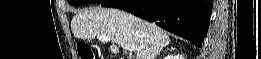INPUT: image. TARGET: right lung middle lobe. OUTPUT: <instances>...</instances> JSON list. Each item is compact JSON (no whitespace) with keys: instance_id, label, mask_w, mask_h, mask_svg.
Segmentation results:
<instances>
[{"instance_id":"1","label":"right lung middle lobe","mask_w":261,"mask_h":59,"mask_svg":"<svg viewBox=\"0 0 261 59\" xmlns=\"http://www.w3.org/2000/svg\"><path fill=\"white\" fill-rule=\"evenodd\" d=\"M104 0H70L69 4L71 5H84L91 3H102Z\"/></svg>"}]
</instances>
